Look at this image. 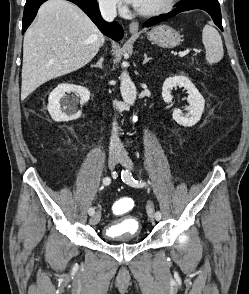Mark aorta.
<instances>
[{
  "label": "aorta",
  "instance_id": "762f6f07",
  "mask_svg": "<svg viewBox=\"0 0 249 294\" xmlns=\"http://www.w3.org/2000/svg\"><path fill=\"white\" fill-rule=\"evenodd\" d=\"M120 91L123 100L127 104L133 105L135 103L137 94L136 87L126 70L123 71L120 76Z\"/></svg>",
  "mask_w": 249,
  "mask_h": 294
}]
</instances>
